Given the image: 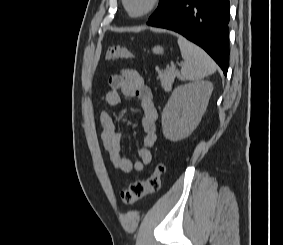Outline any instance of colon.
<instances>
[{
  "mask_svg": "<svg viewBox=\"0 0 283 245\" xmlns=\"http://www.w3.org/2000/svg\"><path fill=\"white\" fill-rule=\"evenodd\" d=\"M132 54L126 49L119 46L109 47L105 54L108 62L131 59ZM165 164L158 162L153 169L151 175L142 181L132 183L129 188L121 192V200L125 206H131L147 195L158 192L161 188V179L165 173Z\"/></svg>",
  "mask_w": 283,
  "mask_h": 245,
  "instance_id": "5ec220e1",
  "label": "colon"
}]
</instances>
